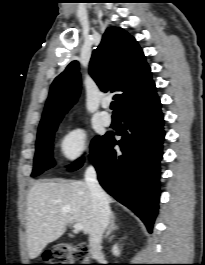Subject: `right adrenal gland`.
<instances>
[{"mask_svg": "<svg viewBox=\"0 0 205 265\" xmlns=\"http://www.w3.org/2000/svg\"><path fill=\"white\" fill-rule=\"evenodd\" d=\"M116 229H118V226L115 225V216L114 213L111 214V221H110V225L108 227V230L104 236V238H108L110 236V234L115 231Z\"/></svg>", "mask_w": 205, "mask_h": 265, "instance_id": "right-adrenal-gland-1", "label": "right adrenal gland"}]
</instances>
